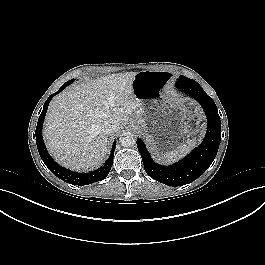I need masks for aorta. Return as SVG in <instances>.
Wrapping results in <instances>:
<instances>
[{
	"label": "aorta",
	"mask_w": 265,
	"mask_h": 265,
	"mask_svg": "<svg viewBox=\"0 0 265 265\" xmlns=\"http://www.w3.org/2000/svg\"><path fill=\"white\" fill-rule=\"evenodd\" d=\"M119 142L123 147H132L136 143L135 136L130 132H125L120 135Z\"/></svg>",
	"instance_id": "1"
}]
</instances>
